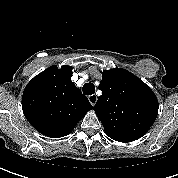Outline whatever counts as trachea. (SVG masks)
I'll list each match as a JSON object with an SVG mask.
<instances>
[{"label":"trachea","instance_id":"3493384b","mask_svg":"<svg viewBox=\"0 0 178 178\" xmlns=\"http://www.w3.org/2000/svg\"><path fill=\"white\" fill-rule=\"evenodd\" d=\"M82 91L85 95H92L95 92V86L93 83L84 84Z\"/></svg>","mask_w":178,"mask_h":178}]
</instances>
